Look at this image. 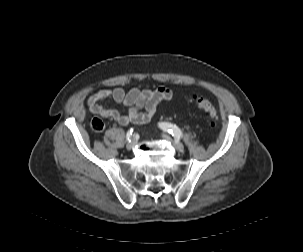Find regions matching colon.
Masks as SVG:
<instances>
[{
    "instance_id": "1",
    "label": "colon",
    "mask_w": 303,
    "mask_h": 252,
    "mask_svg": "<svg viewBox=\"0 0 303 252\" xmlns=\"http://www.w3.org/2000/svg\"><path fill=\"white\" fill-rule=\"evenodd\" d=\"M191 100L194 101L198 108L210 118L212 123H215L218 120V112L208 99L192 96ZM104 127L105 124L101 119L95 118L91 122V128L96 133L102 132Z\"/></svg>"
}]
</instances>
